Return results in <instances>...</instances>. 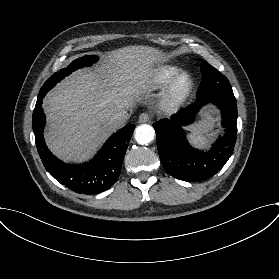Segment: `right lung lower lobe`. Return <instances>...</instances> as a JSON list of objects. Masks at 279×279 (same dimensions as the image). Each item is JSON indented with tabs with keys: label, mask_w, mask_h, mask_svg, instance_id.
Wrapping results in <instances>:
<instances>
[{
	"label": "right lung lower lobe",
	"mask_w": 279,
	"mask_h": 279,
	"mask_svg": "<svg viewBox=\"0 0 279 279\" xmlns=\"http://www.w3.org/2000/svg\"><path fill=\"white\" fill-rule=\"evenodd\" d=\"M46 93L40 90L32 117L36 147L44 167L57 181L76 193L92 195L107 190L120 175L135 125L125 126L113 134L90 162L65 164L49 151L43 138L45 115L41 106Z\"/></svg>",
	"instance_id": "right-lung-lower-lobe-1"
}]
</instances>
